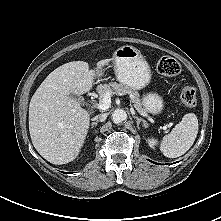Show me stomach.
Instances as JSON below:
<instances>
[{"label":"stomach","mask_w":221,"mask_h":221,"mask_svg":"<svg viewBox=\"0 0 221 221\" xmlns=\"http://www.w3.org/2000/svg\"><path fill=\"white\" fill-rule=\"evenodd\" d=\"M114 70L117 80L134 90L146 87L151 81L150 67L141 52L130 45L118 48L114 52ZM100 77L102 71L97 70ZM142 106L147 112L159 114L163 110V98L157 93H148L142 98Z\"/></svg>","instance_id":"1"}]
</instances>
